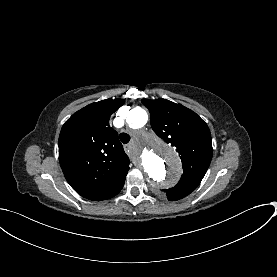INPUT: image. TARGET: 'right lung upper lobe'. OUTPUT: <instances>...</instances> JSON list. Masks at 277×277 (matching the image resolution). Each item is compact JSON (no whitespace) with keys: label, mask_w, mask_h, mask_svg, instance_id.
<instances>
[{"label":"right lung upper lobe","mask_w":277,"mask_h":277,"mask_svg":"<svg viewBox=\"0 0 277 277\" xmlns=\"http://www.w3.org/2000/svg\"><path fill=\"white\" fill-rule=\"evenodd\" d=\"M123 99H106L92 103L74 113L63 125L59 136V161L71 187L82 197L101 201L114 197L122 189L129 170V158L118 139V133L109 126V119ZM74 155L84 170H72ZM112 166L114 174L100 173Z\"/></svg>","instance_id":"obj_1"}]
</instances>
